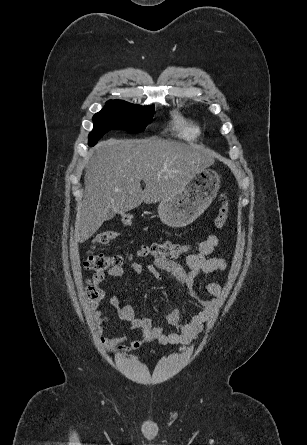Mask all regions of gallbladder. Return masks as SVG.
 I'll return each mask as SVG.
<instances>
[{"label": "gallbladder", "mask_w": 307, "mask_h": 445, "mask_svg": "<svg viewBox=\"0 0 307 445\" xmlns=\"http://www.w3.org/2000/svg\"><path fill=\"white\" fill-rule=\"evenodd\" d=\"M115 216L113 211H108L107 213H105L104 218L107 221L112 220V218Z\"/></svg>", "instance_id": "bac80fb5"}]
</instances>
